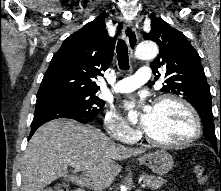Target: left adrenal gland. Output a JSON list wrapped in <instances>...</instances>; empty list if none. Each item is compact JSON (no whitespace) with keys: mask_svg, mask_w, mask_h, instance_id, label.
Instances as JSON below:
<instances>
[{"mask_svg":"<svg viewBox=\"0 0 221 191\" xmlns=\"http://www.w3.org/2000/svg\"><path fill=\"white\" fill-rule=\"evenodd\" d=\"M136 191H142L141 189H138V190H136Z\"/></svg>","mask_w":221,"mask_h":191,"instance_id":"a2214340","label":"left adrenal gland"}]
</instances>
